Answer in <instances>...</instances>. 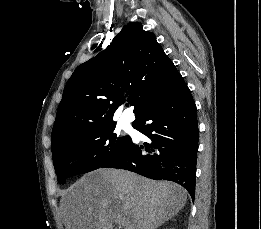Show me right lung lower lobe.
Wrapping results in <instances>:
<instances>
[{
    "mask_svg": "<svg viewBox=\"0 0 261 229\" xmlns=\"http://www.w3.org/2000/svg\"><path fill=\"white\" fill-rule=\"evenodd\" d=\"M133 127L151 142L131 144L101 168H119L178 183L195 197L199 130L196 105L183 78Z\"/></svg>",
    "mask_w": 261,
    "mask_h": 229,
    "instance_id": "right-lung-lower-lobe-1",
    "label": "right lung lower lobe"
}]
</instances>
